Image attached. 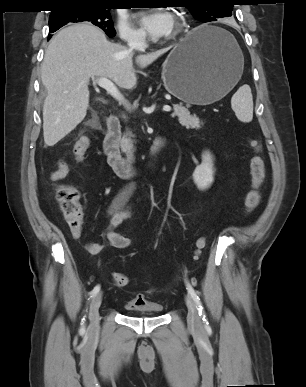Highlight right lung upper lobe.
<instances>
[{
	"label": "right lung upper lobe",
	"mask_w": 306,
	"mask_h": 387,
	"mask_svg": "<svg viewBox=\"0 0 306 387\" xmlns=\"http://www.w3.org/2000/svg\"><path fill=\"white\" fill-rule=\"evenodd\" d=\"M56 9L52 12H56L61 8L71 7V6H101L106 7L110 6L112 0H55Z\"/></svg>",
	"instance_id": "right-lung-upper-lobe-1"
}]
</instances>
